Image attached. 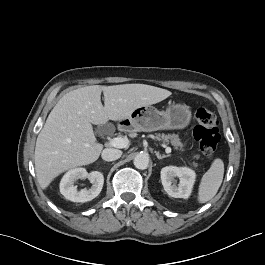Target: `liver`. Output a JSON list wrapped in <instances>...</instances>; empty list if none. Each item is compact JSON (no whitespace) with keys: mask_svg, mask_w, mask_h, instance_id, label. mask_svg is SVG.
Wrapping results in <instances>:
<instances>
[{"mask_svg":"<svg viewBox=\"0 0 265 265\" xmlns=\"http://www.w3.org/2000/svg\"><path fill=\"white\" fill-rule=\"evenodd\" d=\"M171 94L145 84L92 85L65 94L37 137L34 161L41 188L46 189L61 173L99 158L103 145L97 143L92 124L122 121L135 109L159 103Z\"/></svg>","mask_w":265,"mask_h":265,"instance_id":"6515ba94","label":"liver"}]
</instances>
